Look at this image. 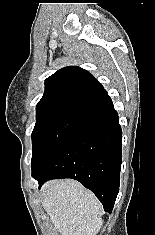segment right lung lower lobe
Masks as SVG:
<instances>
[{"label":"right lung lower lobe","mask_w":155,"mask_h":235,"mask_svg":"<svg viewBox=\"0 0 155 235\" xmlns=\"http://www.w3.org/2000/svg\"><path fill=\"white\" fill-rule=\"evenodd\" d=\"M95 115L42 170L32 172L41 185L50 179L72 178L90 189L111 212L119 192L122 162V131L112 101L101 84L88 91Z\"/></svg>","instance_id":"obj_1"}]
</instances>
